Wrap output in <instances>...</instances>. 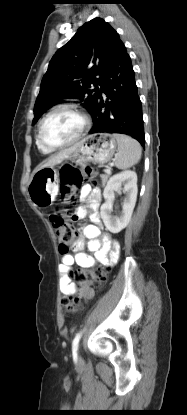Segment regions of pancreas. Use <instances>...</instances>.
Returning a JSON list of instances; mask_svg holds the SVG:
<instances>
[{"instance_id": "obj_1", "label": "pancreas", "mask_w": 187, "mask_h": 415, "mask_svg": "<svg viewBox=\"0 0 187 415\" xmlns=\"http://www.w3.org/2000/svg\"><path fill=\"white\" fill-rule=\"evenodd\" d=\"M110 174L111 173L109 172V173H106V174H103V175L100 176L101 177V180H102V186L103 187L105 186V184H106V182H107Z\"/></svg>"}]
</instances>
